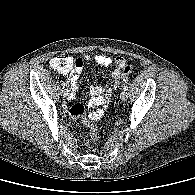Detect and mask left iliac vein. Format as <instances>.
Masks as SVG:
<instances>
[{
    "label": "left iliac vein",
    "instance_id": "obj_1",
    "mask_svg": "<svg viewBox=\"0 0 195 195\" xmlns=\"http://www.w3.org/2000/svg\"><path fill=\"white\" fill-rule=\"evenodd\" d=\"M120 98L122 101H126L128 98V93L126 91H122Z\"/></svg>",
    "mask_w": 195,
    "mask_h": 195
}]
</instances>
